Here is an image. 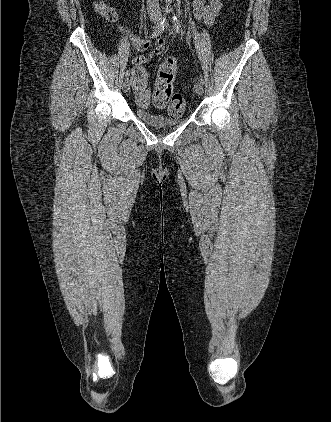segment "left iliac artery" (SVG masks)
I'll list each match as a JSON object with an SVG mask.
<instances>
[{
	"label": "left iliac artery",
	"instance_id": "1",
	"mask_svg": "<svg viewBox=\"0 0 331 422\" xmlns=\"http://www.w3.org/2000/svg\"><path fill=\"white\" fill-rule=\"evenodd\" d=\"M172 23H173V28H174V30H175L177 33H179V34L183 35V31H182V27H181L180 21L178 20V18L176 17V15H173V16H172ZM199 81H200L202 84H204V79H203V77H202V76H200V77H199Z\"/></svg>",
	"mask_w": 331,
	"mask_h": 422
}]
</instances>
